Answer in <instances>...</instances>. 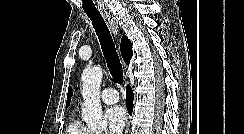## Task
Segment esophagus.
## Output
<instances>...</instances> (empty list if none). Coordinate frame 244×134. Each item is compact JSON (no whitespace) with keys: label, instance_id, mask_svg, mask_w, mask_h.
I'll return each instance as SVG.
<instances>
[{"label":"esophagus","instance_id":"34e87169","mask_svg":"<svg viewBox=\"0 0 244 134\" xmlns=\"http://www.w3.org/2000/svg\"><path fill=\"white\" fill-rule=\"evenodd\" d=\"M102 15H103V18L106 21L107 25L109 26L110 30L112 31L113 35L117 38L119 35V25H118L115 17H113L111 14H109L107 12L102 13ZM128 130H129V123H128L127 129L125 131V134H128Z\"/></svg>","mask_w":244,"mask_h":134}]
</instances>
